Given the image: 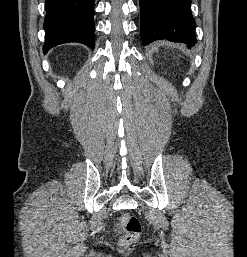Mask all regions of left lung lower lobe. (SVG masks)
I'll return each instance as SVG.
<instances>
[{
  "instance_id": "1",
  "label": "left lung lower lobe",
  "mask_w": 247,
  "mask_h": 257,
  "mask_svg": "<svg viewBox=\"0 0 247 257\" xmlns=\"http://www.w3.org/2000/svg\"><path fill=\"white\" fill-rule=\"evenodd\" d=\"M191 0H140L143 45L156 40L196 44Z\"/></svg>"
}]
</instances>
